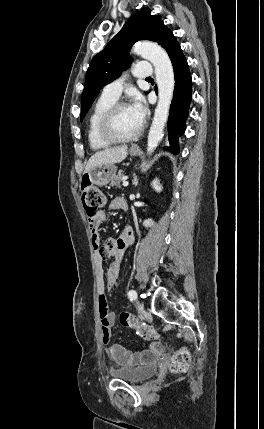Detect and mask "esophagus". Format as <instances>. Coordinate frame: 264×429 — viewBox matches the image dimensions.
<instances>
[{
  "mask_svg": "<svg viewBox=\"0 0 264 429\" xmlns=\"http://www.w3.org/2000/svg\"><path fill=\"white\" fill-rule=\"evenodd\" d=\"M132 148H133V149H138V146H133Z\"/></svg>",
  "mask_w": 264,
  "mask_h": 429,
  "instance_id": "1",
  "label": "esophagus"
}]
</instances>
